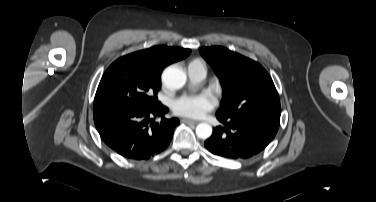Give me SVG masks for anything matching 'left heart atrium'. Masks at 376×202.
I'll list each match as a JSON object with an SVG mask.
<instances>
[{"instance_id":"obj_1","label":"left heart atrium","mask_w":376,"mask_h":202,"mask_svg":"<svg viewBox=\"0 0 376 202\" xmlns=\"http://www.w3.org/2000/svg\"><path fill=\"white\" fill-rule=\"evenodd\" d=\"M215 105V98L207 92H202L181 96L173 103V110L181 116L199 118Z\"/></svg>"}]
</instances>
